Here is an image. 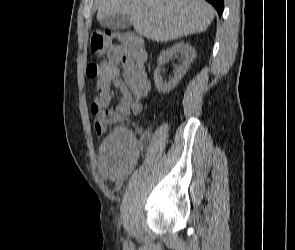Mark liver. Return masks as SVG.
Wrapping results in <instances>:
<instances>
[{
  "mask_svg": "<svg viewBox=\"0 0 295 250\" xmlns=\"http://www.w3.org/2000/svg\"><path fill=\"white\" fill-rule=\"evenodd\" d=\"M127 15L134 30L157 42L206 31L214 18L204 0H100L97 19Z\"/></svg>",
  "mask_w": 295,
  "mask_h": 250,
  "instance_id": "6515ba94",
  "label": "liver"
}]
</instances>
